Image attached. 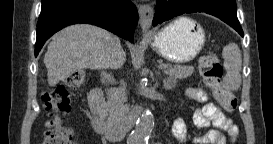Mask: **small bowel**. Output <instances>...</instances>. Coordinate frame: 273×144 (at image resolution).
<instances>
[{
	"instance_id": "c3829d8e",
	"label": "small bowel",
	"mask_w": 273,
	"mask_h": 144,
	"mask_svg": "<svg viewBox=\"0 0 273 144\" xmlns=\"http://www.w3.org/2000/svg\"><path fill=\"white\" fill-rule=\"evenodd\" d=\"M188 95L191 99L202 103L195 110L193 123L199 129H205V133L198 137H192L186 128L184 120L178 118L172 126V133L178 143L181 144H224L225 134L232 141L238 137V128L231 119L226 117L223 110L209 101L208 94L200 88H192Z\"/></svg>"
}]
</instances>
